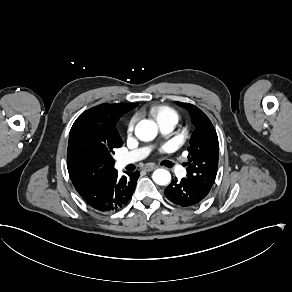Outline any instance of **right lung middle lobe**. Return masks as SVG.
<instances>
[{
  "mask_svg": "<svg viewBox=\"0 0 292 292\" xmlns=\"http://www.w3.org/2000/svg\"><path fill=\"white\" fill-rule=\"evenodd\" d=\"M119 147L76 141L70 149L68 147L67 162L68 165H84L90 168H97L106 163L114 164L112 154L114 149Z\"/></svg>",
  "mask_w": 292,
  "mask_h": 292,
  "instance_id": "1",
  "label": "right lung middle lobe"
}]
</instances>
